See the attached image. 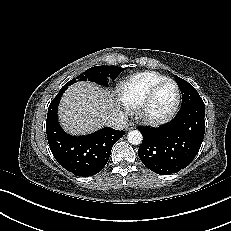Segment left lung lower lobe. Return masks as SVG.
Instances as JSON below:
<instances>
[{"mask_svg": "<svg viewBox=\"0 0 231 231\" xmlns=\"http://www.w3.org/2000/svg\"><path fill=\"white\" fill-rule=\"evenodd\" d=\"M205 105L192 104L181 109L169 123L152 128L139 126L143 142L138 156L151 171L171 175L187 167L195 158L204 138Z\"/></svg>", "mask_w": 231, "mask_h": 231, "instance_id": "1", "label": "left lung lower lobe"}]
</instances>
